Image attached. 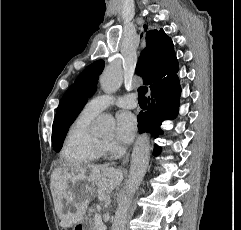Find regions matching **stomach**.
Masks as SVG:
<instances>
[{"label":"stomach","mask_w":241,"mask_h":230,"mask_svg":"<svg viewBox=\"0 0 241 230\" xmlns=\"http://www.w3.org/2000/svg\"><path fill=\"white\" fill-rule=\"evenodd\" d=\"M76 230H93V224L89 219H83L75 225Z\"/></svg>","instance_id":"1"}]
</instances>
